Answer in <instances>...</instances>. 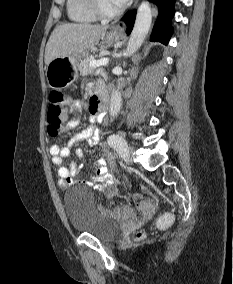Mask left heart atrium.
I'll use <instances>...</instances> for the list:
<instances>
[{"label": "left heart atrium", "mask_w": 233, "mask_h": 284, "mask_svg": "<svg viewBox=\"0 0 233 284\" xmlns=\"http://www.w3.org/2000/svg\"><path fill=\"white\" fill-rule=\"evenodd\" d=\"M115 2V4H117L118 6H123L124 4H126L129 0H113Z\"/></svg>", "instance_id": "39dd6f15"}]
</instances>
